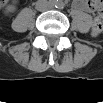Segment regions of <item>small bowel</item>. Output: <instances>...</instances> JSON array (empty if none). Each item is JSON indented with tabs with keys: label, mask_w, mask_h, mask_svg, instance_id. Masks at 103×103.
I'll return each mask as SVG.
<instances>
[{
	"label": "small bowel",
	"mask_w": 103,
	"mask_h": 103,
	"mask_svg": "<svg viewBox=\"0 0 103 103\" xmlns=\"http://www.w3.org/2000/svg\"><path fill=\"white\" fill-rule=\"evenodd\" d=\"M78 7L82 8V9H84L86 11H91L90 3L89 2L88 3H86V2H80V3H78Z\"/></svg>",
	"instance_id": "small-bowel-1"
}]
</instances>
